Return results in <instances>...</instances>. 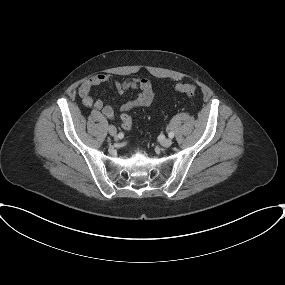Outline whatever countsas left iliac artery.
<instances>
[{"instance_id": "44dca946", "label": "left iliac artery", "mask_w": 285, "mask_h": 285, "mask_svg": "<svg viewBox=\"0 0 285 285\" xmlns=\"http://www.w3.org/2000/svg\"><path fill=\"white\" fill-rule=\"evenodd\" d=\"M168 136H169V138H173L174 137V133L173 132H169Z\"/></svg>"}]
</instances>
